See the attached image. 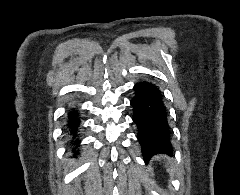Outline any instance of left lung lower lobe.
Returning <instances> with one entry per match:
<instances>
[{"label": "left lung lower lobe", "mask_w": 240, "mask_h": 195, "mask_svg": "<svg viewBox=\"0 0 240 195\" xmlns=\"http://www.w3.org/2000/svg\"><path fill=\"white\" fill-rule=\"evenodd\" d=\"M130 101L133 122L138 129V140L147 161L156 153L172 154L167 110L159 88L147 80L137 82Z\"/></svg>", "instance_id": "0a47b994"}]
</instances>
